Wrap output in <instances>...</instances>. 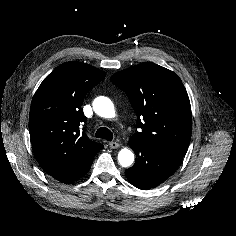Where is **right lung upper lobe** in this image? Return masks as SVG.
Listing matches in <instances>:
<instances>
[{
	"label": "right lung upper lobe",
	"instance_id": "1",
	"mask_svg": "<svg viewBox=\"0 0 236 236\" xmlns=\"http://www.w3.org/2000/svg\"><path fill=\"white\" fill-rule=\"evenodd\" d=\"M105 72L69 61L53 70L37 89L30 107L29 132L34 155L49 174L94 158L103 145L90 140L80 125L87 92Z\"/></svg>",
	"mask_w": 236,
	"mask_h": 236
}]
</instances>
